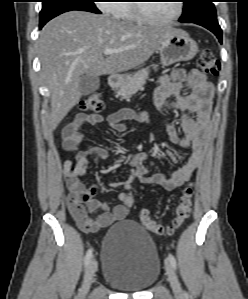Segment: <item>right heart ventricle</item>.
Wrapping results in <instances>:
<instances>
[{
  "mask_svg": "<svg viewBox=\"0 0 248 299\" xmlns=\"http://www.w3.org/2000/svg\"><path fill=\"white\" fill-rule=\"evenodd\" d=\"M119 11L118 16L128 22H137L139 20L135 14L133 5L130 3H120Z\"/></svg>",
  "mask_w": 248,
  "mask_h": 299,
  "instance_id": "right-heart-ventricle-1",
  "label": "right heart ventricle"
}]
</instances>
